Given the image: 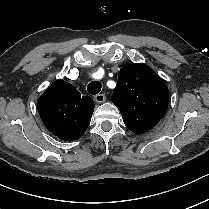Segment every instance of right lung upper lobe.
<instances>
[{
	"label": "right lung upper lobe",
	"instance_id": "right-lung-upper-lobe-1",
	"mask_svg": "<svg viewBox=\"0 0 209 209\" xmlns=\"http://www.w3.org/2000/svg\"><path fill=\"white\" fill-rule=\"evenodd\" d=\"M45 127L65 141L77 140L87 130L94 111L90 96H81L74 85L59 79L37 101Z\"/></svg>",
	"mask_w": 209,
	"mask_h": 209
}]
</instances>
